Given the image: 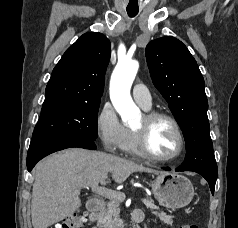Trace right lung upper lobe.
Here are the masks:
<instances>
[{
    "mask_svg": "<svg viewBox=\"0 0 238 228\" xmlns=\"http://www.w3.org/2000/svg\"><path fill=\"white\" fill-rule=\"evenodd\" d=\"M110 54L111 44L105 35L83 34L53 69L41 114L73 105L100 103Z\"/></svg>",
    "mask_w": 238,
    "mask_h": 228,
    "instance_id": "1",
    "label": "right lung upper lobe"
}]
</instances>
